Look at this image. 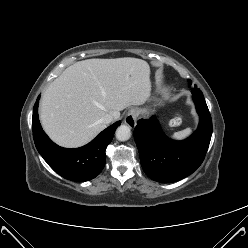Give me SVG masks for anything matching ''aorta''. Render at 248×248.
Returning <instances> with one entry per match:
<instances>
[{
  "label": "aorta",
  "mask_w": 248,
  "mask_h": 248,
  "mask_svg": "<svg viewBox=\"0 0 248 248\" xmlns=\"http://www.w3.org/2000/svg\"><path fill=\"white\" fill-rule=\"evenodd\" d=\"M116 139L119 141H127L131 137V129L127 125H121L116 130Z\"/></svg>",
  "instance_id": "obj_1"
}]
</instances>
